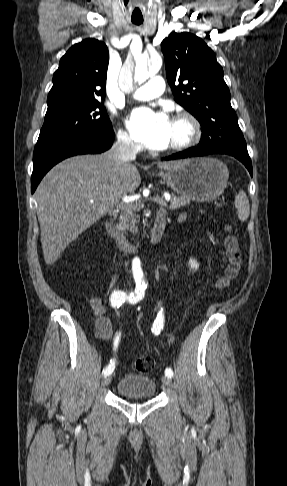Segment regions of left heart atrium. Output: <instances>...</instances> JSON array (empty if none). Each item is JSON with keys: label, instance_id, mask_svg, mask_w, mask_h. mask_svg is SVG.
Wrapping results in <instances>:
<instances>
[{"label": "left heart atrium", "instance_id": "obj_1", "mask_svg": "<svg viewBox=\"0 0 287 486\" xmlns=\"http://www.w3.org/2000/svg\"><path fill=\"white\" fill-rule=\"evenodd\" d=\"M126 123L133 138L147 148L158 150L169 146L172 122L165 113L135 108Z\"/></svg>", "mask_w": 287, "mask_h": 486}]
</instances>
